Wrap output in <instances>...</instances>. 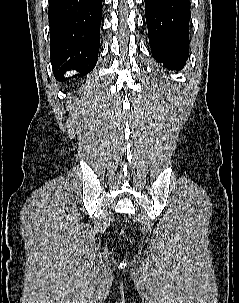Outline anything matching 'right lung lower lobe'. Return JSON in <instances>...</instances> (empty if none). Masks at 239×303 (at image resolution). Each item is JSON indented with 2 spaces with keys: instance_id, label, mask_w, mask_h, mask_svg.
<instances>
[{
  "instance_id": "right-lung-lower-lobe-1",
  "label": "right lung lower lobe",
  "mask_w": 239,
  "mask_h": 303,
  "mask_svg": "<svg viewBox=\"0 0 239 303\" xmlns=\"http://www.w3.org/2000/svg\"><path fill=\"white\" fill-rule=\"evenodd\" d=\"M101 17L102 0H49L50 57L57 80L66 79L67 70L84 76L95 67Z\"/></svg>"
}]
</instances>
